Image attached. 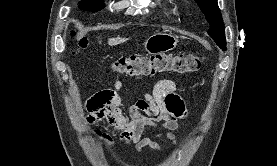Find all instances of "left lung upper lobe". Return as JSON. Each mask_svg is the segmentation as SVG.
Wrapping results in <instances>:
<instances>
[{
  "mask_svg": "<svg viewBox=\"0 0 277 166\" xmlns=\"http://www.w3.org/2000/svg\"><path fill=\"white\" fill-rule=\"evenodd\" d=\"M195 2H197L211 26L208 34L222 50H226L225 29L217 0H195Z\"/></svg>",
  "mask_w": 277,
  "mask_h": 166,
  "instance_id": "left-lung-upper-lobe-1",
  "label": "left lung upper lobe"
}]
</instances>
